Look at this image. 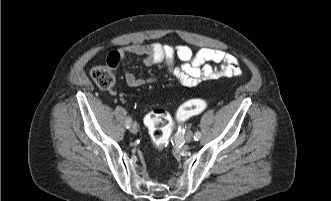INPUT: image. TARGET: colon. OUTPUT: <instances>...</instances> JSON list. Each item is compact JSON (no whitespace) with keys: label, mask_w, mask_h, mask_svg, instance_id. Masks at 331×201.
Returning a JSON list of instances; mask_svg holds the SVG:
<instances>
[{"label":"colon","mask_w":331,"mask_h":201,"mask_svg":"<svg viewBox=\"0 0 331 201\" xmlns=\"http://www.w3.org/2000/svg\"><path fill=\"white\" fill-rule=\"evenodd\" d=\"M113 65L96 66L91 71V76L96 85L102 90H109L114 85L112 72ZM208 106L204 99H192L184 103L178 110L175 120L165 110H154L146 116V126L156 147H164L172 134L175 121L181 122L196 115Z\"/></svg>","instance_id":"5ec220e1"}]
</instances>
